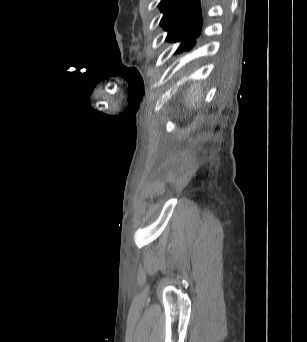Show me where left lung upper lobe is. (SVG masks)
<instances>
[{"label":"left lung upper lobe","instance_id":"left-lung-upper-lobe-1","mask_svg":"<svg viewBox=\"0 0 307 342\" xmlns=\"http://www.w3.org/2000/svg\"><path fill=\"white\" fill-rule=\"evenodd\" d=\"M158 7L164 13L160 25L168 32L166 40L181 42L176 53L192 50L204 26L200 0H161Z\"/></svg>","mask_w":307,"mask_h":342}]
</instances>
